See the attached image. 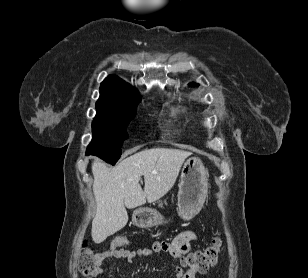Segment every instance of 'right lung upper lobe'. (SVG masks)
I'll use <instances>...</instances> for the list:
<instances>
[{
    "label": "right lung upper lobe",
    "instance_id": "cb5924a9",
    "mask_svg": "<svg viewBox=\"0 0 308 278\" xmlns=\"http://www.w3.org/2000/svg\"><path fill=\"white\" fill-rule=\"evenodd\" d=\"M138 91L115 75L108 76L100 86L94 120H127L135 116Z\"/></svg>",
    "mask_w": 308,
    "mask_h": 278
}]
</instances>
